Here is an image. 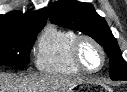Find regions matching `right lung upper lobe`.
<instances>
[{
  "mask_svg": "<svg viewBox=\"0 0 127 92\" xmlns=\"http://www.w3.org/2000/svg\"><path fill=\"white\" fill-rule=\"evenodd\" d=\"M47 15V8L25 14L13 11L0 15V34H14L33 28H43L47 21Z\"/></svg>",
  "mask_w": 127,
  "mask_h": 92,
  "instance_id": "cb5924a9",
  "label": "right lung upper lobe"
}]
</instances>
